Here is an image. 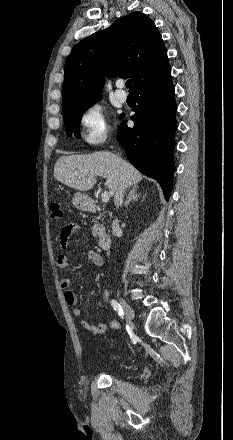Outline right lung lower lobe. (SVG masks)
Here are the masks:
<instances>
[{"instance_id":"obj_1","label":"right lung lower lobe","mask_w":233,"mask_h":440,"mask_svg":"<svg viewBox=\"0 0 233 440\" xmlns=\"http://www.w3.org/2000/svg\"><path fill=\"white\" fill-rule=\"evenodd\" d=\"M137 105L131 116L134 127L122 122L117 140L125 149L130 163L148 177L156 179L168 200L174 173L173 150L176 129V102L167 66L155 77L134 89ZM124 116V115H123Z\"/></svg>"}]
</instances>
